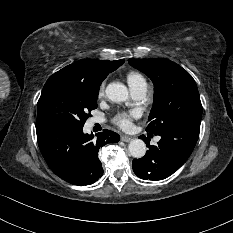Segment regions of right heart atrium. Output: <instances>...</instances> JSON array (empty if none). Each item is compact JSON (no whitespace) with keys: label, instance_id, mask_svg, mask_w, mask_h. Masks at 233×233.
Wrapping results in <instances>:
<instances>
[{"label":"right heart atrium","instance_id":"obj_1","mask_svg":"<svg viewBox=\"0 0 233 233\" xmlns=\"http://www.w3.org/2000/svg\"><path fill=\"white\" fill-rule=\"evenodd\" d=\"M104 90H105V84L102 83V84L100 85L99 91H98L99 96H102V95L104 94Z\"/></svg>","mask_w":233,"mask_h":233}]
</instances>
